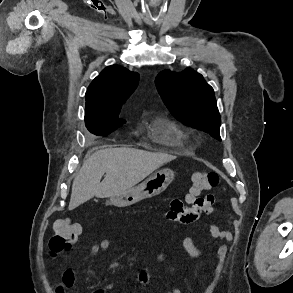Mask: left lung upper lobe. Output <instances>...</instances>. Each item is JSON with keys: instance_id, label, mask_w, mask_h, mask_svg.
Instances as JSON below:
<instances>
[{"instance_id": "obj_1", "label": "left lung upper lobe", "mask_w": 293, "mask_h": 293, "mask_svg": "<svg viewBox=\"0 0 293 293\" xmlns=\"http://www.w3.org/2000/svg\"><path fill=\"white\" fill-rule=\"evenodd\" d=\"M155 84L169 111L182 123L221 140V117L213 88L190 68L181 73L162 71Z\"/></svg>"}]
</instances>
